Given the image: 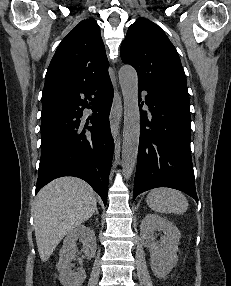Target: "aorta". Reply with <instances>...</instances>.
<instances>
[{"label": "aorta", "mask_w": 231, "mask_h": 286, "mask_svg": "<svg viewBox=\"0 0 231 286\" xmlns=\"http://www.w3.org/2000/svg\"><path fill=\"white\" fill-rule=\"evenodd\" d=\"M118 74L124 100L122 168L126 179H129L136 165L140 137L138 77L130 65L122 66Z\"/></svg>", "instance_id": "obj_1"}]
</instances>
